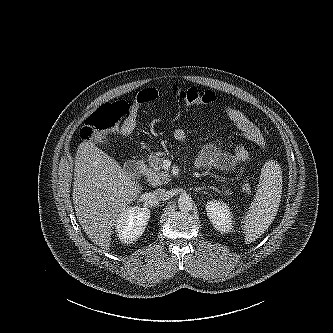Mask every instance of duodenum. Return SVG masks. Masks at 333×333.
I'll use <instances>...</instances> for the list:
<instances>
[{
	"mask_svg": "<svg viewBox=\"0 0 333 333\" xmlns=\"http://www.w3.org/2000/svg\"><path fill=\"white\" fill-rule=\"evenodd\" d=\"M145 163L142 160L135 159L130 160L125 165V171L130 176H139L144 173L145 171Z\"/></svg>",
	"mask_w": 333,
	"mask_h": 333,
	"instance_id": "410a0bca",
	"label": "duodenum"
}]
</instances>
